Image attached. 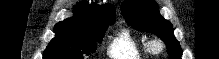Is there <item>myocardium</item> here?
<instances>
[{"instance_id":"f54148a6","label":"myocardium","mask_w":219,"mask_h":59,"mask_svg":"<svg viewBox=\"0 0 219 59\" xmlns=\"http://www.w3.org/2000/svg\"><path fill=\"white\" fill-rule=\"evenodd\" d=\"M149 50L153 54H160L163 52L165 45L160 39H152L148 42Z\"/></svg>"}]
</instances>
